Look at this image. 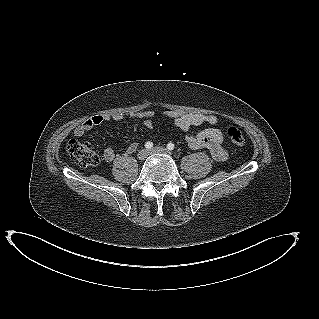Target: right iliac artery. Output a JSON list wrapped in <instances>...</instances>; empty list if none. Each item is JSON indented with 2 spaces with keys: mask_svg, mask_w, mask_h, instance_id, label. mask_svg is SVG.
<instances>
[{
  "mask_svg": "<svg viewBox=\"0 0 319 319\" xmlns=\"http://www.w3.org/2000/svg\"><path fill=\"white\" fill-rule=\"evenodd\" d=\"M153 147V143L151 141H148L145 143V148L151 149Z\"/></svg>",
  "mask_w": 319,
  "mask_h": 319,
  "instance_id": "82829eb1",
  "label": "right iliac artery"
}]
</instances>
